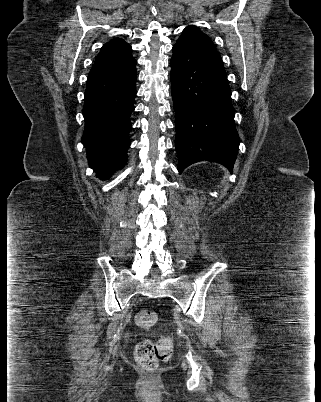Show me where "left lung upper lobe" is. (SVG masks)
<instances>
[{"instance_id":"5c2ea615","label":"left lung upper lobe","mask_w":321,"mask_h":402,"mask_svg":"<svg viewBox=\"0 0 321 402\" xmlns=\"http://www.w3.org/2000/svg\"><path fill=\"white\" fill-rule=\"evenodd\" d=\"M177 42L191 44L193 46L218 53L211 39L196 26H189L185 28Z\"/></svg>"}]
</instances>
